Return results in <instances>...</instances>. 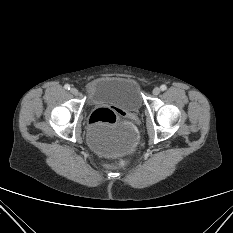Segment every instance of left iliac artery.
<instances>
[{
    "mask_svg": "<svg viewBox=\"0 0 233 233\" xmlns=\"http://www.w3.org/2000/svg\"><path fill=\"white\" fill-rule=\"evenodd\" d=\"M160 89H161L162 91H165V90L167 89V86L163 84V85L160 86Z\"/></svg>",
    "mask_w": 233,
    "mask_h": 233,
    "instance_id": "left-iliac-artery-1",
    "label": "left iliac artery"
}]
</instances>
